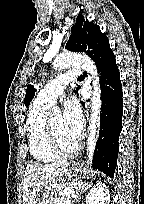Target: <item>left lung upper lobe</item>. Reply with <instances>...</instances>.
Wrapping results in <instances>:
<instances>
[{"label":"left lung upper lobe","mask_w":144,"mask_h":204,"mask_svg":"<svg viewBox=\"0 0 144 204\" xmlns=\"http://www.w3.org/2000/svg\"><path fill=\"white\" fill-rule=\"evenodd\" d=\"M71 33L66 45L68 50L86 53L96 62L97 66L108 63L109 60L115 58L107 36L101 32L97 24L88 21L83 15L79 14L76 17ZM34 94V87L28 85L24 100L26 106L32 100Z\"/></svg>","instance_id":"1"}]
</instances>
